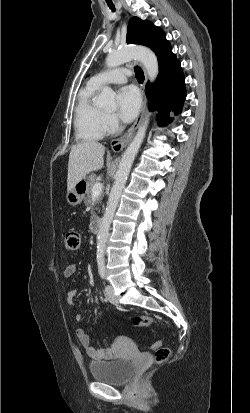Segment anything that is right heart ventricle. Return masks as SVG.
<instances>
[{"label":"right heart ventricle","mask_w":250,"mask_h":413,"mask_svg":"<svg viewBox=\"0 0 250 413\" xmlns=\"http://www.w3.org/2000/svg\"><path fill=\"white\" fill-rule=\"evenodd\" d=\"M99 88L100 86L90 81L79 93L74 119L75 137L79 141L100 140L105 134V112L93 101Z\"/></svg>","instance_id":"obj_1"}]
</instances>
